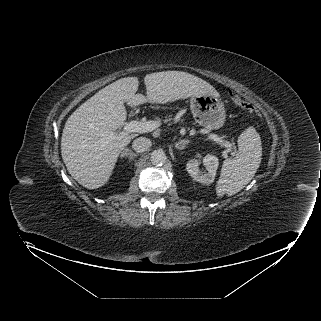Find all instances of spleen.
<instances>
[{
  "mask_svg": "<svg viewBox=\"0 0 321 321\" xmlns=\"http://www.w3.org/2000/svg\"><path fill=\"white\" fill-rule=\"evenodd\" d=\"M262 146L258 132L249 127L238 138V153L223 162L217 182L218 197L234 195L241 191L254 177L261 163Z\"/></svg>",
  "mask_w": 321,
  "mask_h": 321,
  "instance_id": "3e777b00",
  "label": "spleen"
}]
</instances>
